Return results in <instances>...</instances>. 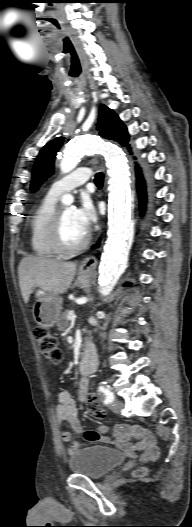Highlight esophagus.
<instances>
[{"instance_id":"1","label":"esophagus","mask_w":192,"mask_h":527,"mask_svg":"<svg viewBox=\"0 0 192 527\" xmlns=\"http://www.w3.org/2000/svg\"><path fill=\"white\" fill-rule=\"evenodd\" d=\"M96 266H97L96 257L87 256L81 261L79 265V269L80 271H83V272H90V271H93L96 268Z\"/></svg>"}]
</instances>
